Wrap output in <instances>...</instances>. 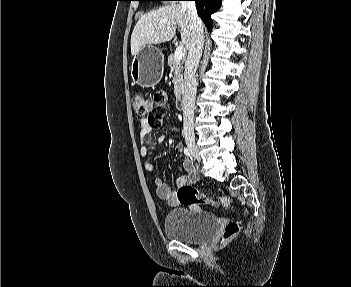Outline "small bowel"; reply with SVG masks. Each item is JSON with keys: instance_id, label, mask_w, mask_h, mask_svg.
<instances>
[{"instance_id": "obj_1", "label": "small bowel", "mask_w": 351, "mask_h": 287, "mask_svg": "<svg viewBox=\"0 0 351 287\" xmlns=\"http://www.w3.org/2000/svg\"><path fill=\"white\" fill-rule=\"evenodd\" d=\"M140 126V155L143 158L152 155V150H149V145L154 141V136H151V133L154 132V127H150L145 119L141 120L139 123ZM172 132H178V128H173ZM167 134H162L157 137L156 141L158 143H162L166 139ZM175 150L177 152L183 151V144L177 143L175 145ZM186 174L178 178L176 185L177 187H181L187 184H193L197 181V175L194 169L192 162L189 159H186L183 163ZM144 168L153 172L155 170V165L148 161H144ZM154 184L156 187L157 195L160 199L166 201L170 205H177L178 199L176 192L172 190V188L165 183L160 177H155Z\"/></svg>"}]
</instances>
